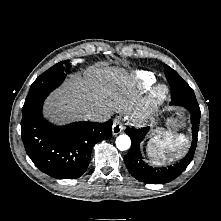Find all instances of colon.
Here are the masks:
<instances>
[{"instance_id":"obj_1","label":"colon","mask_w":221,"mask_h":221,"mask_svg":"<svg viewBox=\"0 0 221 221\" xmlns=\"http://www.w3.org/2000/svg\"><path fill=\"white\" fill-rule=\"evenodd\" d=\"M181 123V118L180 116H177V118L174 120V122L172 123L173 128H177L180 126Z\"/></svg>"}]
</instances>
